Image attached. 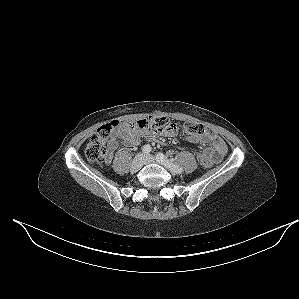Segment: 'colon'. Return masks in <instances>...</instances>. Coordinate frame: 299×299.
I'll use <instances>...</instances> for the list:
<instances>
[{
	"label": "colon",
	"mask_w": 299,
	"mask_h": 299,
	"mask_svg": "<svg viewBox=\"0 0 299 299\" xmlns=\"http://www.w3.org/2000/svg\"><path fill=\"white\" fill-rule=\"evenodd\" d=\"M126 125L131 128L152 129L159 133H177L180 128L164 116H152L138 121H127ZM120 126L118 121H112L99 127L91 137L85 149V156L89 162L101 163L106 160L111 142L112 132ZM203 126L197 122L189 121L184 123L182 130L188 134L199 133ZM213 162L203 159L201 165L210 168Z\"/></svg>",
	"instance_id": "1"
}]
</instances>
